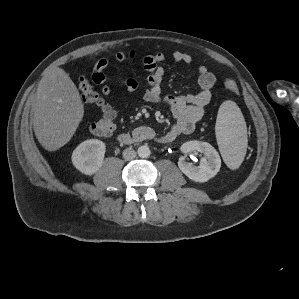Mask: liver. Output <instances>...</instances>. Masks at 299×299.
Here are the masks:
<instances>
[{"instance_id":"obj_1","label":"liver","mask_w":299,"mask_h":299,"mask_svg":"<svg viewBox=\"0 0 299 299\" xmlns=\"http://www.w3.org/2000/svg\"><path fill=\"white\" fill-rule=\"evenodd\" d=\"M84 116L79 91L59 67L47 68L33 105V126L39 143L48 151L67 144Z\"/></svg>"}]
</instances>
